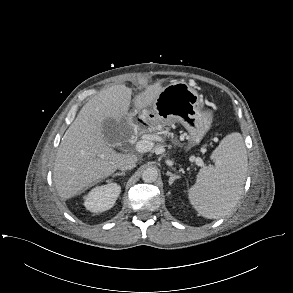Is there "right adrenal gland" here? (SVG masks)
Masks as SVG:
<instances>
[{
	"label": "right adrenal gland",
	"mask_w": 293,
	"mask_h": 293,
	"mask_svg": "<svg viewBox=\"0 0 293 293\" xmlns=\"http://www.w3.org/2000/svg\"><path fill=\"white\" fill-rule=\"evenodd\" d=\"M125 175H126L125 172H120V173L114 174L113 177H115V176H125Z\"/></svg>",
	"instance_id": "obj_1"
}]
</instances>
